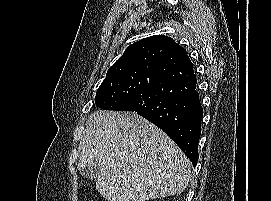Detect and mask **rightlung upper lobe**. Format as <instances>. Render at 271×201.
Instances as JSON below:
<instances>
[{"mask_svg": "<svg viewBox=\"0 0 271 201\" xmlns=\"http://www.w3.org/2000/svg\"><path fill=\"white\" fill-rule=\"evenodd\" d=\"M178 45L172 38L164 35L139 40L128 46L124 54L109 68L107 76L138 69H151L158 60Z\"/></svg>", "mask_w": 271, "mask_h": 201, "instance_id": "cb5924a9", "label": "right lung upper lobe"}]
</instances>
